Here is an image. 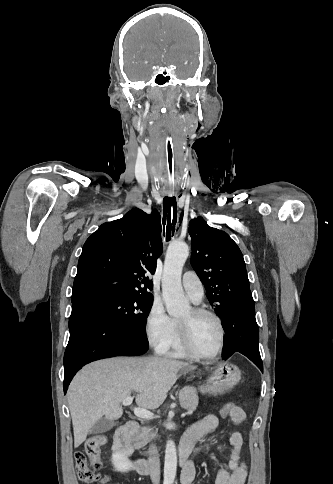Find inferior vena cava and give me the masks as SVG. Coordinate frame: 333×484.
<instances>
[{
  "label": "inferior vena cava",
  "instance_id": "602c4592",
  "mask_svg": "<svg viewBox=\"0 0 333 484\" xmlns=\"http://www.w3.org/2000/svg\"><path fill=\"white\" fill-rule=\"evenodd\" d=\"M150 477L153 484L160 483V459L155 444L149 447Z\"/></svg>",
  "mask_w": 333,
  "mask_h": 484
}]
</instances>
